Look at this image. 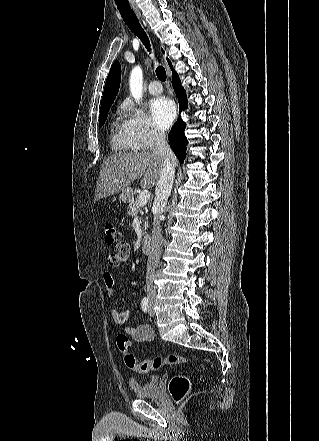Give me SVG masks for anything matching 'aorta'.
<instances>
[{"mask_svg":"<svg viewBox=\"0 0 319 441\" xmlns=\"http://www.w3.org/2000/svg\"><path fill=\"white\" fill-rule=\"evenodd\" d=\"M129 87L134 100L139 102L142 98L143 91V73L139 65L133 67L131 70Z\"/></svg>","mask_w":319,"mask_h":441,"instance_id":"aorta-1","label":"aorta"}]
</instances>
